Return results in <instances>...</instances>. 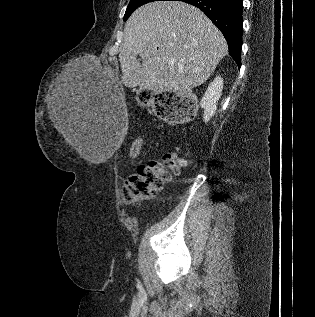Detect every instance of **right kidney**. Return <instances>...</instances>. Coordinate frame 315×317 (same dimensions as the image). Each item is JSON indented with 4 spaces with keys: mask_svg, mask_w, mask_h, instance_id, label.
Listing matches in <instances>:
<instances>
[{
    "mask_svg": "<svg viewBox=\"0 0 315 317\" xmlns=\"http://www.w3.org/2000/svg\"><path fill=\"white\" fill-rule=\"evenodd\" d=\"M223 89V78L216 77L213 82H211L200 102L201 108L204 109L203 120L205 123L209 122L217 109V102L222 95Z\"/></svg>",
    "mask_w": 315,
    "mask_h": 317,
    "instance_id": "ca27d5eb",
    "label": "right kidney"
}]
</instances>
